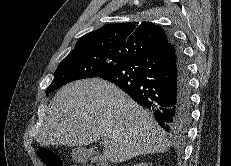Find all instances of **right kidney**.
<instances>
[{
	"instance_id": "right-kidney-1",
	"label": "right kidney",
	"mask_w": 231,
	"mask_h": 166,
	"mask_svg": "<svg viewBox=\"0 0 231 166\" xmlns=\"http://www.w3.org/2000/svg\"><path fill=\"white\" fill-rule=\"evenodd\" d=\"M134 166H151V165H149V163H146V162H141V163L135 164Z\"/></svg>"
}]
</instances>
